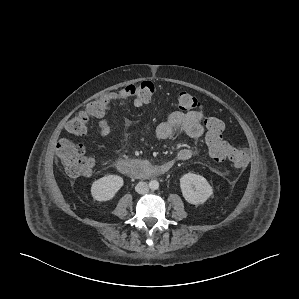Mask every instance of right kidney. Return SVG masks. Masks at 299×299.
Here are the masks:
<instances>
[{
  "label": "right kidney",
  "instance_id": "obj_1",
  "mask_svg": "<svg viewBox=\"0 0 299 299\" xmlns=\"http://www.w3.org/2000/svg\"><path fill=\"white\" fill-rule=\"evenodd\" d=\"M123 178L118 175H107L95 182L91 186V195L94 200L103 202L111 200L123 186Z\"/></svg>",
  "mask_w": 299,
  "mask_h": 299
}]
</instances>
